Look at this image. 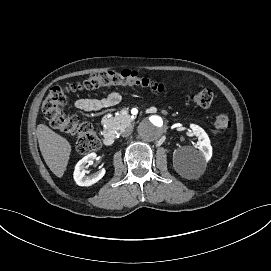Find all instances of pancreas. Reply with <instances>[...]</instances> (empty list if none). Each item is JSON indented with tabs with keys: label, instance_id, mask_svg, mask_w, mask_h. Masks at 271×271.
Listing matches in <instances>:
<instances>
[{
	"label": "pancreas",
	"instance_id": "obj_1",
	"mask_svg": "<svg viewBox=\"0 0 271 271\" xmlns=\"http://www.w3.org/2000/svg\"><path fill=\"white\" fill-rule=\"evenodd\" d=\"M131 118L128 116H103L101 124L105 125L107 130L118 131L122 125L130 123Z\"/></svg>",
	"mask_w": 271,
	"mask_h": 271
}]
</instances>
